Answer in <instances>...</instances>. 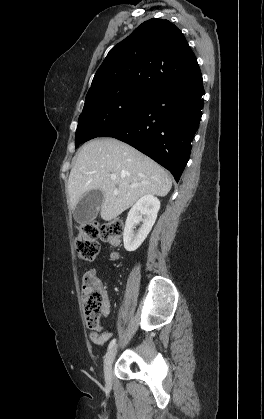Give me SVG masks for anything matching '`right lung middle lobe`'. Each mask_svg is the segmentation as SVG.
<instances>
[{"mask_svg": "<svg viewBox=\"0 0 264 419\" xmlns=\"http://www.w3.org/2000/svg\"><path fill=\"white\" fill-rule=\"evenodd\" d=\"M152 94L139 87L107 88L87 94L78 120L75 148L127 119Z\"/></svg>", "mask_w": 264, "mask_h": 419, "instance_id": "dd1d6c3e", "label": "right lung middle lobe"}]
</instances>
